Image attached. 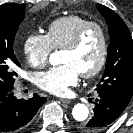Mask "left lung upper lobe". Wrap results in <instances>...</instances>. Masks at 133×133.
<instances>
[{
  "label": "left lung upper lobe",
  "mask_w": 133,
  "mask_h": 133,
  "mask_svg": "<svg viewBox=\"0 0 133 133\" xmlns=\"http://www.w3.org/2000/svg\"><path fill=\"white\" fill-rule=\"evenodd\" d=\"M106 19L110 34L105 72L97 92H110L130 101L133 94V41L128 27L118 14L96 5Z\"/></svg>",
  "instance_id": "1"
}]
</instances>
